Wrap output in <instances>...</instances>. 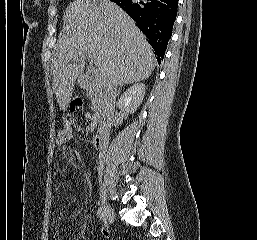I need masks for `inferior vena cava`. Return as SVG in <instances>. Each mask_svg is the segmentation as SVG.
Segmentation results:
<instances>
[{"label": "inferior vena cava", "instance_id": "obj_1", "mask_svg": "<svg viewBox=\"0 0 257 240\" xmlns=\"http://www.w3.org/2000/svg\"><path fill=\"white\" fill-rule=\"evenodd\" d=\"M117 82L115 80L108 82L106 85V99L108 102V109H107V121H106V128L110 126L111 118L113 115L114 104L117 96ZM100 167L99 170L103 168V162L100 160Z\"/></svg>", "mask_w": 257, "mask_h": 240}]
</instances>
